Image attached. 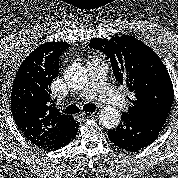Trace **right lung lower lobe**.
Returning a JSON list of instances; mask_svg holds the SVG:
<instances>
[{"mask_svg":"<svg viewBox=\"0 0 178 178\" xmlns=\"http://www.w3.org/2000/svg\"><path fill=\"white\" fill-rule=\"evenodd\" d=\"M79 123L76 124V127L71 130L67 135H65L64 137L60 138L58 141H56L54 144H52L51 146L45 148L44 150L46 151H54V150H58L64 146H66L67 144H69V142H71L74 137L77 134V128H78Z\"/></svg>","mask_w":178,"mask_h":178,"instance_id":"98d812e1","label":"right lung lower lobe"}]
</instances>
